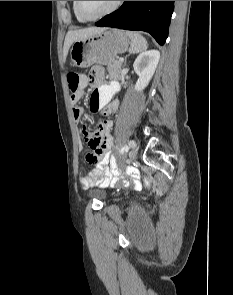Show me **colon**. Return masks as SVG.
Segmentation results:
<instances>
[{
    "label": "colon",
    "instance_id": "1",
    "mask_svg": "<svg viewBox=\"0 0 233 295\" xmlns=\"http://www.w3.org/2000/svg\"><path fill=\"white\" fill-rule=\"evenodd\" d=\"M67 81L72 96L83 92V90L89 83L88 79L85 76L77 72H69L67 74ZM86 143L89 149L88 153L86 154V161L89 164H95L97 163L102 153L101 139L99 134L86 133Z\"/></svg>",
    "mask_w": 233,
    "mask_h": 295
}]
</instances>
